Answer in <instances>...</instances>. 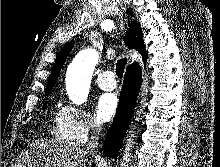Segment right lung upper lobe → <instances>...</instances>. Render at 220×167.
<instances>
[{
  "instance_id": "obj_1",
  "label": "right lung upper lobe",
  "mask_w": 220,
  "mask_h": 167,
  "mask_svg": "<svg viewBox=\"0 0 220 167\" xmlns=\"http://www.w3.org/2000/svg\"><path fill=\"white\" fill-rule=\"evenodd\" d=\"M130 25V29L124 37V41L130 49H136L140 54H142L143 61L145 62L147 60V52L145 51V45L143 42L142 29L136 21H132ZM72 47L73 42H69L66 45H64L63 48L60 50L56 58V61L52 67L51 75L49 77V81L46 87V95L51 92L52 88L56 84L61 67L64 64L67 55L71 51ZM137 65L138 63H134L129 67Z\"/></svg>"
}]
</instances>
